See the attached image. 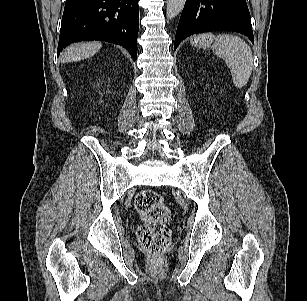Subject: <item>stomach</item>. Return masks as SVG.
Instances as JSON below:
<instances>
[{
  "mask_svg": "<svg viewBox=\"0 0 307 301\" xmlns=\"http://www.w3.org/2000/svg\"><path fill=\"white\" fill-rule=\"evenodd\" d=\"M214 41L212 34H202L191 39V43L199 48H207Z\"/></svg>",
  "mask_w": 307,
  "mask_h": 301,
  "instance_id": "stomach-1",
  "label": "stomach"
}]
</instances>
